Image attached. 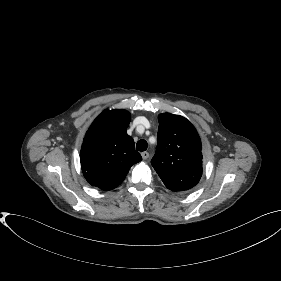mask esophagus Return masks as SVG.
I'll return each mask as SVG.
<instances>
[{
    "label": "esophagus",
    "instance_id": "esophagus-1",
    "mask_svg": "<svg viewBox=\"0 0 281 281\" xmlns=\"http://www.w3.org/2000/svg\"><path fill=\"white\" fill-rule=\"evenodd\" d=\"M141 156H142V158L144 159V160H146V159H148L149 158V153L148 152H142L141 153Z\"/></svg>",
    "mask_w": 281,
    "mask_h": 281
}]
</instances>
